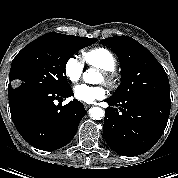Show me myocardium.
Instances as JSON below:
<instances>
[{"instance_id":"1","label":"myocardium","mask_w":178,"mask_h":178,"mask_svg":"<svg viewBox=\"0 0 178 178\" xmlns=\"http://www.w3.org/2000/svg\"><path fill=\"white\" fill-rule=\"evenodd\" d=\"M104 78V82L109 85L113 86L115 82V76L112 71L110 70H101Z\"/></svg>"}]
</instances>
